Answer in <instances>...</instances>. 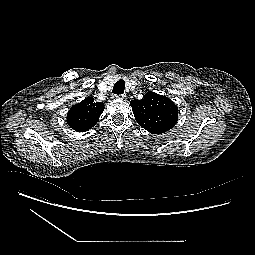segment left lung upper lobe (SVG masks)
<instances>
[{"label":"left lung upper lobe","mask_w":255,"mask_h":255,"mask_svg":"<svg viewBox=\"0 0 255 255\" xmlns=\"http://www.w3.org/2000/svg\"><path fill=\"white\" fill-rule=\"evenodd\" d=\"M130 105L138 124L152 134L165 133L177 123L178 107L168 97L149 91Z\"/></svg>","instance_id":"5c2ea615"}]
</instances>
